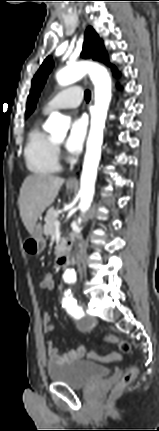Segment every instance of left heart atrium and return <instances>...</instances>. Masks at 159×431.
<instances>
[{
	"mask_svg": "<svg viewBox=\"0 0 159 431\" xmlns=\"http://www.w3.org/2000/svg\"><path fill=\"white\" fill-rule=\"evenodd\" d=\"M87 131V121L84 117L75 118L70 125L69 133L65 142L67 151L78 154L83 147Z\"/></svg>",
	"mask_w": 159,
	"mask_h": 431,
	"instance_id": "1",
	"label": "left heart atrium"
}]
</instances>
